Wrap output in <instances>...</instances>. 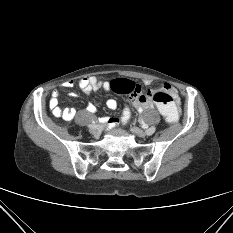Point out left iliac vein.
Returning a JSON list of instances; mask_svg holds the SVG:
<instances>
[{
	"label": "left iliac vein",
	"mask_w": 233,
	"mask_h": 233,
	"mask_svg": "<svg viewBox=\"0 0 233 233\" xmlns=\"http://www.w3.org/2000/svg\"><path fill=\"white\" fill-rule=\"evenodd\" d=\"M131 131L134 134L138 135L139 137H145L147 134V132L143 131L142 129L135 128V127L131 128Z\"/></svg>",
	"instance_id": "obj_1"
}]
</instances>
